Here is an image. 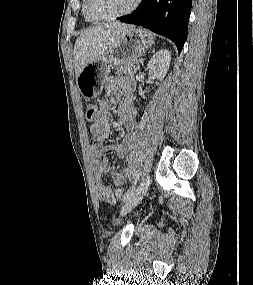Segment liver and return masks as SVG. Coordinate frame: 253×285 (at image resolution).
<instances>
[{
    "label": "liver",
    "instance_id": "6515ba94",
    "mask_svg": "<svg viewBox=\"0 0 253 285\" xmlns=\"http://www.w3.org/2000/svg\"><path fill=\"white\" fill-rule=\"evenodd\" d=\"M134 26L123 23L102 24L83 31L74 45L76 77L90 62L101 56Z\"/></svg>",
    "mask_w": 253,
    "mask_h": 285
}]
</instances>
